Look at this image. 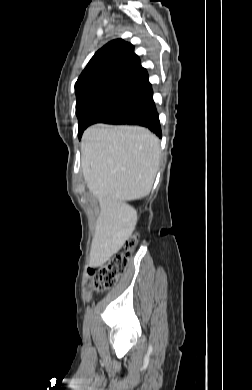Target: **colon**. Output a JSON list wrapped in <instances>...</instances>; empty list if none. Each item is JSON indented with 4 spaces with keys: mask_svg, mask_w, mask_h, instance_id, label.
Listing matches in <instances>:
<instances>
[{
    "mask_svg": "<svg viewBox=\"0 0 252 390\" xmlns=\"http://www.w3.org/2000/svg\"><path fill=\"white\" fill-rule=\"evenodd\" d=\"M139 238L133 235L126 239L123 251L110 258L105 264L92 269V286L96 291H104L114 286L119 276L127 268L132 253L138 245Z\"/></svg>",
    "mask_w": 252,
    "mask_h": 390,
    "instance_id": "obj_1",
    "label": "colon"
}]
</instances>
